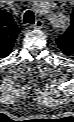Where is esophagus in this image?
<instances>
[{"instance_id":"1","label":"esophagus","mask_w":74,"mask_h":122,"mask_svg":"<svg viewBox=\"0 0 74 122\" xmlns=\"http://www.w3.org/2000/svg\"><path fill=\"white\" fill-rule=\"evenodd\" d=\"M43 21L42 20H40V19H38V20H36V22H35V24L33 25V28H35V29H41L42 27H43Z\"/></svg>"}]
</instances>
